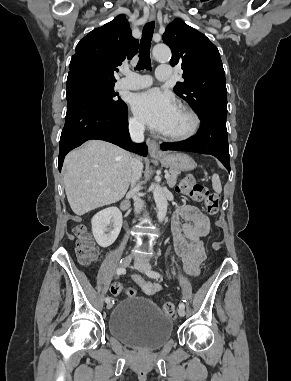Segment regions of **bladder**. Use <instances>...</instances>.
Listing matches in <instances>:
<instances>
[{
    "label": "bladder",
    "mask_w": 291,
    "mask_h": 381,
    "mask_svg": "<svg viewBox=\"0 0 291 381\" xmlns=\"http://www.w3.org/2000/svg\"><path fill=\"white\" fill-rule=\"evenodd\" d=\"M108 332L120 342L141 350H154L172 338L173 323L148 297L120 301L108 318Z\"/></svg>",
    "instance_id": "obj_1"
}]
</instances>
